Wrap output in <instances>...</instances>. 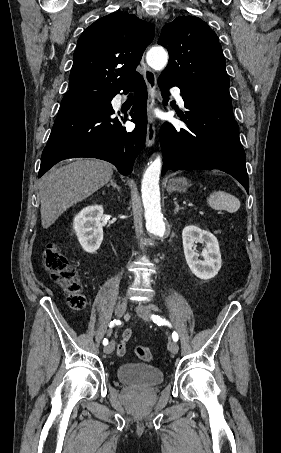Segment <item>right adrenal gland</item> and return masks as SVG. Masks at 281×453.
<instances>
[{"instance_id": "right-adrenal-gland-1", "label": "right adrenal gland", "mask_w": 281, "mask_h": 453, "mask_svg": "<svg viewBox=\"0 0 281 453\" xmlns=\"http://www.w3.org/2000/svg\"><path fill=\"white\" fill-rule=\"evenodd\" d=\"M107 186H114V188H117V190H119V192H120V186H118L117 182H115V180H113V178H111L110 184H107Z\"/></svg>"}]
</instances>
